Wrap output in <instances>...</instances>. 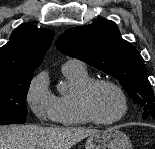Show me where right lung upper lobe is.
<instances>
[{
  "instance_id": "cb5924a9",
  "label": "right lung upper lobe",
  "mask_w": 155,
  "mask_h": 149,
  "mask_svg": "<svg viewBox=\"0 0 155 149\" xmlns=\"http://www.w3.org/2000/svg\"><path fill=\"white\" fill-rule=\"evenodd\" d=\"M54 38V32L24 23L0 48V77L32 73L42 62Z\"/></svg>"
}]
</instances>
